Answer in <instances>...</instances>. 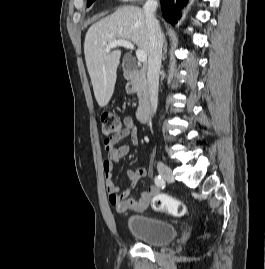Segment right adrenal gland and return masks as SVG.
I'll return each mask as SVG.
<instances>
[{
    "label": "right adrenal gland",
    "instance_id": "obj_1",
    "mask_svg": "<svg viewBox=\"0 0 265 269\" xmlns=\"http://www.w3.org/2000/svg\"><path fill=\"white\" fill-rule=\"evenodd\" d=\"M167 53V43H166V39L164 37V49H163V55H162V59H165V55Z\"/></svg>",
    "mask_w": 265,
    "mask_h": 269
}]
</instances>
